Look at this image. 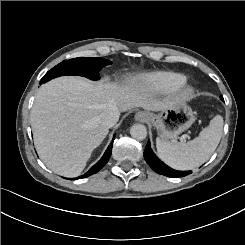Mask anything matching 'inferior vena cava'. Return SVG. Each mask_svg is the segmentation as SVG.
Masks as SVG:
<instances>
[{"mask_svg": "<svg viewBox=\"0 0 245 245\" xmlns=\"http://www.w3.org/2000/svg\"><path fill=\"white\" fill-rule=\"evenodd\" d=\"M119 111L116 108L108 109L99 116L100 124L106 128L113 127L119 119Z\"/></svg>", "mask_w": 245, "mask_h": 245, "instance_id": "inferior-vena-cava-1", "label": "inferior vena cava"}]
</instances>
